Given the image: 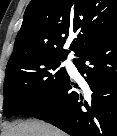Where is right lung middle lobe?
<instances>
[{
  "mask_svg": "<svg viewBox=\"0 0 117 136\" xmlns=\"http://www.w3.org/2000/svg\"><path fill=\"white\" fill-rule=\"evenodd\" d=\"M62 57L34 55L7 64L3 84L4 117L15 115L35 97L48 93L67 76Z\"/></svg>",
  "mask_w": 117,
  "mask_h": 136,
  "instance_id": "1",
  "label": "right lung middle lobe"
}]
</instances>
